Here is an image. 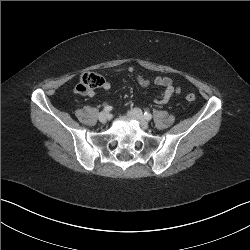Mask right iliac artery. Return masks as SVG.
Segmentation results:
<instances>
[{
  "mask_svg": "<svg viewBox=\"0 0 250 250\" xmlns=\"http://www.w3.org/2000/svg\"><path fill=\"white\" fill-rule=\"evenodd\" d=\"M111 110H112L111 106H105L104 107V111H106V112L111 111Z\"/></svg>",
  "mask_w": 250,
  "mask_h": 250,
  "instance_id": "82829eb1",
  "label": "right iliac artery"
}]
</instances>
